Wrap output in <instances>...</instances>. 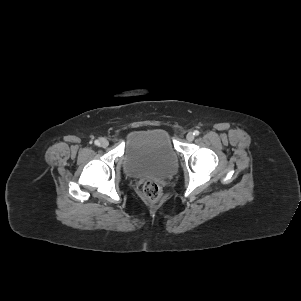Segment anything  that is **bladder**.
Listing matches in <instances>:
<instances>
[{
  "instance_id": "1",
  "label": "bladder",
  "mask_w": 301,
  "mask_h": 301,
  "mask_svg": "<svg viewBox=\"0 0 301 301\" xmlns=\"http://www.w3.org/2000/svg\"><path fill=\"white\" fill-rule=\"evenodd\" d=\"M177 167V153L164 129H140L128 137L123 154V171L126 175L166 179L176 172Z\"/></svg>"
}]
</instances>
